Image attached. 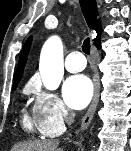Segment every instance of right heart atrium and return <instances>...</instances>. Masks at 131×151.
Instances as JSON below:
<instances>
[{"label":"right heart atrium","mask_w":131,"mask_h":151,"mask_svg":"<svg viewBox=\"0 0 131 151\" xmlns=\"http://www.w3.org/2000/svg\"><path fill=\"white\" fill-rule=\"evenodd\" d=\"M32 90L36 96L34 111L39 131L49 137L62 133L66 121L70 118V113L63 102L53 92L41 90L37 86Z\"/></svg>","instance_id":"obj_1"}]
</instances>
